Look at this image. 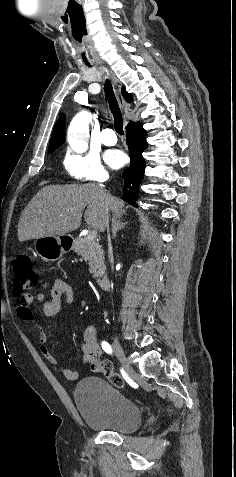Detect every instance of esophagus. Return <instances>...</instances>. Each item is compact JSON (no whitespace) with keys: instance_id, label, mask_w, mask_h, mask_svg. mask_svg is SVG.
Returning <instances> with one entry per match:
<instances>
[{"instance_id":"obj_1","label":"esophagus","mask_w":236,"mask_h":477,"mask_svg":"<svg viewBox=\"0 0 236 477\" xmlns=\"http://www.w3.org/2000/svg\"><path fill=\"white\" fill-rule=\"evenodd\" d=\"M108 74L110 75L114 85L117 87V79L116 77L109 71H107ZM117 95L119 97V100H120V104L122 106V109L125 113H127L129 110H130V107L129 105L127 104V102L124 100V98L121 96V93H120V89L117 87Z\"/></svg>"}]
</instances>
